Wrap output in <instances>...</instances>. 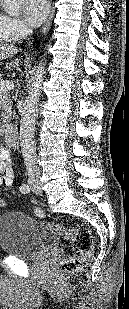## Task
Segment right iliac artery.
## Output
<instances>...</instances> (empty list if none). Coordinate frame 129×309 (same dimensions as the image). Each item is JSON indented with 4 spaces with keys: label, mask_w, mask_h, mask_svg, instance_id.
Returning a JSON list of instances; mask_svg holds the SVG:
<instances>
[{
    "label": "right iliac artery",
    "mask_w": 129,
    "mask_h": 309,
    "mask_svg": "<svg viewBox=\"0 0 129 309\" xmlns=\"http://www.w3.org/2000/svg\"><path fill=\"white\" fill-rule=\"evenodd\" d=\"M30 175V174H29ZM20 191L21 193H28L30 191V186L28 184H23L21 187H20Z\"/></svg>",
    "instance_id": "obj_1"
}]
</instances>
